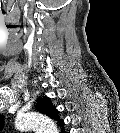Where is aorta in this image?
Masks as SVG:
<instances>
[{
  "label": "aorta",
  "instance_id": "762f6f07",
  "mask_svg": "<svg viewBox=\"0 0 120 133\" xmlns=\"http://www.w3.org/2000/svg\"><path fill=\"white\" fill-rule=\"evenodd\" d=\"M16 126L19 129H39L46 130L47 128H54L53 123L44 115L39 113H29L17 119Z\"/></svg>",
  "mask_w": 120,
  "mask_h": 133
}]
</instances>
